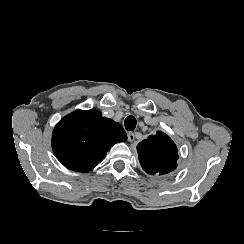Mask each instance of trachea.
Masks as SVG:
<instances>
[{"label": "trachea", "instance_id": "1", "mask_svg": "<svg viewBox=\"0 0 244 244\" xmlns=\"http://www.w3.org/2000/svg\"><path fill=\"white\" fill-rule=\"evenodd\" d=\"M137 125V121L134 116H127L124 121V126L128 131H133Z\"/></svg>", "mask_w": 244, "mask_h": 244}]
</instances>
